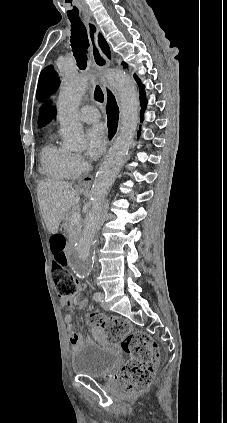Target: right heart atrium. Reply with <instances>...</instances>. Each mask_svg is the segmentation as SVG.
I'll return each instance as SVG.
<instances>
[{
    "mask_svg": "<svg viewBox=\"0 0 227 423\" xmlns=\"http://www.w3.org/2000/svg\"><path fill=\"white\" fill-rule=\"evenodd\" d=\"M90 168L88 160L79 153H69L66 160L67 177L74 179L86 173Z\"/></svg>",
    "mask_w": 227,
    "mask_h": 423,
    "instance_id": "obj_1",
    "label": "right heart atrium"
}]
</instances>
